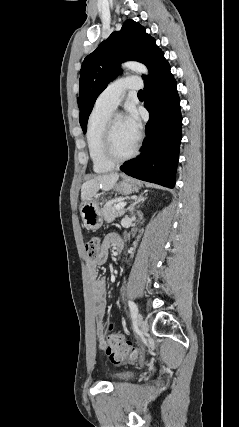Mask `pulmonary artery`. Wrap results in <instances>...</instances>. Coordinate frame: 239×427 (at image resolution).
<instances>
[{"mask_svg":"<svg viewBox=\"0 0 239 427\" xmlns=\"http://www.w3.org/2000/svg\"><path fill=\"white\" fill-rule=\"evenodd\" d=\"M142 82L137 76H126L111 83L97 98L95 106L113 111L122 100L126 91H137Z\"/></svg>","mask_w":239,"mask_h":427,"instance_id":"1","label":"pulmonary artery"}]
</instances>
